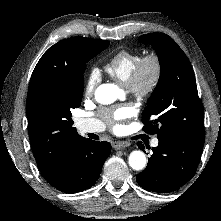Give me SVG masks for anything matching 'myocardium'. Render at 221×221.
Returning a JSON list of instances; mask_svg holds the SVG:
<instances>
[{"mask_svg": "<svg viewBox=\"0 0 221 221\" xmlns=\"http://www.w3.org/2000/svg\"><path fill=\"white\" fill-rule=\"evenodd\" d=\"M162 76V60L158 54L151 53L140 59L129 78L127 87L136 98L146 99L157 90Z\"/></svg>", "mask_w": 221, "mask_h": 221, "instance_id": "1", "label": "myocardium"}]
</instances>
